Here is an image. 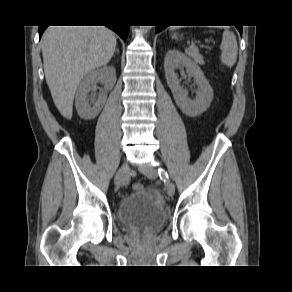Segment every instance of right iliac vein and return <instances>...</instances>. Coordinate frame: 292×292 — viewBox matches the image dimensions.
<instances>
[{"label": "right iliac vein", "instance_id": "63e3f726", "mask_svg": "<svg viewBox=\"0 0 292 292\" xmlns=\"http://www.w3.org/2000/svg\"><path fill=\"white\" fill-rule=\"evenodd\" d=\"M127 176H128V169L126 168V165H123L116 173L115 175V185L121 186L127 183Z\"/></svg>", "mask_w": 292, "mask_h": 292}]
</instances>
